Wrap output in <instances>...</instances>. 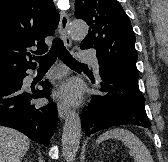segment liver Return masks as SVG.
<instances>
[{
	"label": "liver",
	"mask_w": 168,
	"mask_h": 162,
	"mask_svg": "<svg viewBox=\"0 0 168 162\" xmlns=\"http://www.w3.org/2000/svg\"><path fill=\"white\" fill-rule=\"evenodd\" d=\"M29 146L30 141L24 134L0 126V162H21Z\"/></svg>",
	"instance_id": "6515ba94"
}]
</instances>
